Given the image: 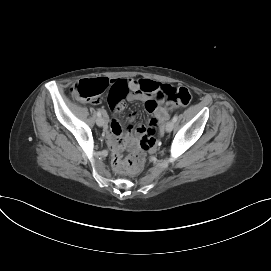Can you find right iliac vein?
I'll return each instance as SVG.
<instances>
[{"label": "right iliac vein", "mask_w": 271, "mask_h": 271, "mask_svg": "<svg viewBox=\"0 0 271 271\" xmlns=\"http://www.w3.org/2000/svg\"><path fill=\"white\" fill-rule=\"evenodd\" d=\"M96 123H97V125H98L99 127H102V126H104V124H105V120H104L103 117H98L97 120H96Z\"/></svg>", "instance_id": "right-iliac-vein-1"}]
</instances>
